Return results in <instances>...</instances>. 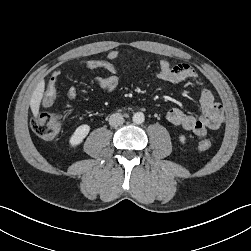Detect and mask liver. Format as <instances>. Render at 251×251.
Listing matches in <instances>:
<instances>
[{"label":"liver","mask_w":251,"mask_h":251,"mask_svg":"<svg viewBox=\"0 0 251 251\" xmlns=\"http://www.w3.org/2000/svg\"><path fill=\"white\" fill-rule=\"evenodd\" d=\"M44 88H45V82L44 80H41L37 84L30 99V108L35 117L39 114V109H40L41 100L43 98Z\"/></svg>","instance_id":"1"}]
</instances>
